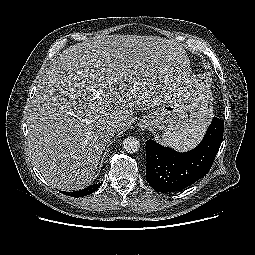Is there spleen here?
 I'll use <instances>...</instances> for the list:
<instances>
[{
  "mask_svg": "<svg viewBox=\"0 0 255 255\" xmlns=\"http://www.w3.org/2000/svg\"><path fill=\"white\" fill-rule=\"evenodd\" d=\"M210 115L203 107L193 113L188 127L180 131H168L163 133L161 142L165 146H170L178 151H186L195 147L202 139Z\"/></svg>",
  "mask_w": 255,
  "mask_h": 255,
  "instance_id": "3e777b00",
  "label": "spleen"
}]
</instances>
